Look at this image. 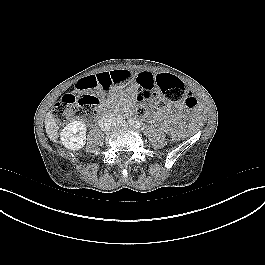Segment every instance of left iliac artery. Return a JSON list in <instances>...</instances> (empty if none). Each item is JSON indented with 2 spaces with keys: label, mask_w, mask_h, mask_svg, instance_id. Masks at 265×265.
I'll return each mask as SVG.
<instances>
[{
  "label": "left iliac artery",
  "mask_w": 265,
  "mask_h": 265,
  "mask_svg": "<svg viewBox=\"0 0 265 265\" xmlns=\"http://www.w3.org/2000/svg\"><path fill=\"white\" fill-rule=\"evenodd\" d=\"M128 123H129L130 125H133V126L136 127V128H140V127H141V124H140L137 120H135V119H133V118H130V119L128 120Z\"/></svg>",
  "instance_id": "obj_1"
}]
</instances>
